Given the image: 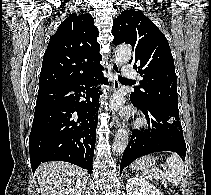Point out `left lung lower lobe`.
Here are the masks:
<instances>
[{"label":"left lung lower lobe","mask_w":211,"mask_h":195,"mask_svg":"<svg viewBox=\"0 0 211 195\" xmlns=\"http://www.w3.org/2000/svg\"><path fill=\"white\" fill-rule=\"evenodd\" d=\"M130 99L147 116L149 128L133 131L121 159L120 173L125 166L149 153L172 151L185 158L186 144L179 114L158 105L138 103L132 97Z\"/></svg>","instance_id":"obj_1"}]
</instances>
